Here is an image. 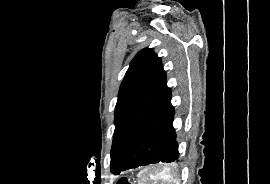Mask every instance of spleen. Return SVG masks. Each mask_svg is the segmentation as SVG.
Here are the masks:
<instances>
[{"instance_id":"obj_1","label":"spleen","mask_w":270,"mask_h":184,"mask_svg":"<svg viewBox=\"0 0 270 184\" xmlns=\"http://www.w3.org/2000/svg\"><path fill=\"white\" fill-rule=\"evenodd\" d=\"M173 182L180 184L168 167L163 169H144L139 174L138 180V184H173Z\"/></svg>"}]
</instances>
